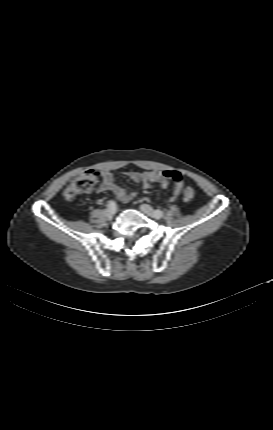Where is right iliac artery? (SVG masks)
Listing matches in <instances>:
<instances>
[{"label":"right iliac artery","instance_id":"1","mask_svg":"<svg viewBox=\"0 0 273 430\" xmlns=\"http://www.w3.org/2000/svg\"><path fill=\"white\" fill-rule=\"evenodd\" d=\"M108 209H116V202L114 200H110L107 203Z\"/></svg>","mask_w":273,"mask_h":430}]
</instances>
